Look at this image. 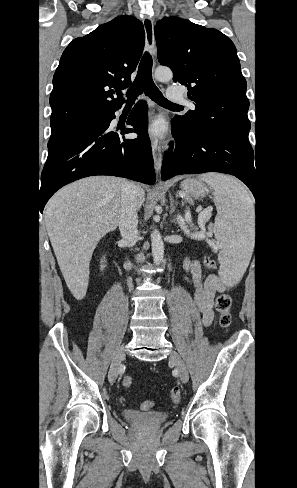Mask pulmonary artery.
Instances as JSON below:
<instances>
[{
    "mask_svg": "<svg viewBox=\"0 0 297 488\" xmlns=\"http://www.w3.org/2000/svg\"><path fill=\"white\" fill-rule=\"evenodd\" d=\"M167 98L173 102L184 103V104L187 103V100L184 98V96L173 89H168Z\"/></svg>",
    "mask_w": 297,
    "mask_h": 488,
    "instance_id": "e3ab8cb5",
    "label": "pulmonary artery"
}]
</instances>
